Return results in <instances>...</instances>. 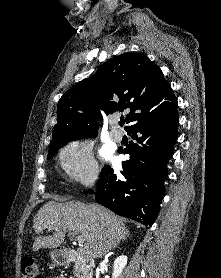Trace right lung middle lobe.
I'll return each instance as SVG.
<instances>
[{"mask_svg":"<svg viewBox=\"0 0 221 278\" xmlns=\"http://www.w3.org/2000/svg\"><path fill=\"white\" fill-rule=\"evenodd\" d=\"M93 136H95V135L87 136V137H93ZM87 137H83V138H87ZM80 139H81V138H80ZM64 144H66V143H62V144H59V145L50 147V148H49V151H48V156H47V158H48V159L52 158V157L55 155V153L57 152V150L60 149Z\"/></svg>","mask_w":221,"mask_h":278,"instance_id":"obj_1","label":"right lung middle lobe"}]
</instances>
